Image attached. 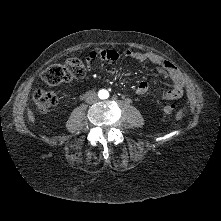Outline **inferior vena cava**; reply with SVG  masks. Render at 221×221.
<instances>
[{
	"instance_id": "602c4592",
	"label": "inferior vena cava",
	"mask_w": 221,
	"mask_h": 221,
	"mask_svg": "<svg viewBox=\"0 0 221 221\" xmlns=\"http://www.w3.org/2000/svg\"><path fill=\"white\" fill-rule=\"evenodd\" d=\"M98 100V96L94 91H88L85 93V101L87 103H94Z\"/></svg>"
}]
</instances>
